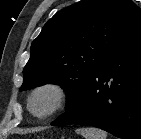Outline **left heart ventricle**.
Instances as JSON below:
<instances>
[{
  "label": "left heart ventricle",
  "instance_id": "left-heart-ventricle-1",
  "mask_svg": "<svg viewBox=\"0 0 141 139\" xmlns=\"http://www.w3.org/2000/svg\"><path fill=\"white\" fill-rule=\"evenodd\" d=\"M54 96L51 92H42L36 96L33 103V109L36 113L46 112L53 104Z\"/></svg>",
  "mask_w": 141,
  "mask_h": 139
}]
</instances>
